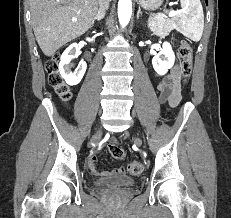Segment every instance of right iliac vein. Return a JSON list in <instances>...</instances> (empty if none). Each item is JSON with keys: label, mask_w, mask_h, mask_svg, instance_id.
<instances>
[{"label": "right iliac vein", "mask_w": 231, "mask_h": 218, "mask_svg": "<svg viewBox=\"0 0 231 218\" xmlns=\"http://www.w3.org/2000/svg\"><path fill=\"white\" fill-rule=\"evenodd\" d=\"M101 135V129H98L96 134L94 135V140H97Z\"/></svg>", "instance_id": "right-iliac-vein-1"}]
</instances>
